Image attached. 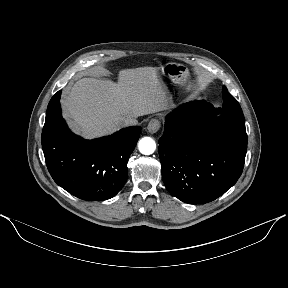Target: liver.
I'll list each match as a JSON object with an SVG mask.
<instances>
[{
	"mask_svg": "<svg viewBox=\"0 0 288 288\" xmlns=\"http://www.w3.org/2000/svg\"><path fill=\"white\" fill-rule=\"evenodd\" d=\"M62 105L75 130L92 139L119 130L128 117L169 109L171 102L159 68L140 67L121 70L117 83L82 78L64 95Z\"/></svg>",
	"mask_w": 288,
	"mask_h": 288,
	"instance_id": "1",
	"label": "liver"
}]
</instances>
